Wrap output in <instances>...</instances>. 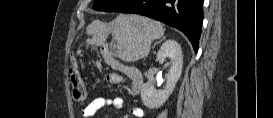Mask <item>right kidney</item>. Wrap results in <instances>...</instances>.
Returning a JSON list of instances; mask_svg holds the SVG:
<instances>
[{
  "instance_id": "1",
  "label": "right kidney",
  "mask_w": 273,
  "mask_h": 118,
  "mask_svg": "<svg viewBox=\"0 0 273 118\" xmlns=\"http://www.w3.org/2000/svg\"><path fill=\"white\" fill-rule=\"evenodd\" d=\"M169 57L171 68L167 74V83L164 90H156L151 83H145L141 89L143 104L149 109L159 108L169 98L178 82L183 66V56L180 45L175 40L165 41L157 53V60L162 63Z\"/></svg>"
}]
</instances>
